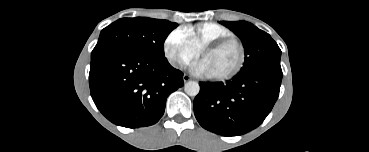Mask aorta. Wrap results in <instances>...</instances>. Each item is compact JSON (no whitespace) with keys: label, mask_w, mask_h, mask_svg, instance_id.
<instances>
[{"label":"aorta","mask_w":369,"mask_h":152,"mask_svg":"<svg viewBox=\"0 0 369 152\" xmlns=\"http://www.w3.org/2000/svg\"><path fill=\"white\" fill-rule=\"evenodd\" d=\"M184 91L189 96H196L200 91V86L196 81H188L184 85Z\"/></svg>","instance_id":"762f6f07"}]
</instances>
